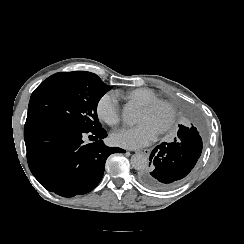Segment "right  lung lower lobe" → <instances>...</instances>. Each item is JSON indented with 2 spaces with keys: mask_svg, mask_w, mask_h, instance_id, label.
<instances>
[{
  "mask_svg": "<svg viewBox=\"0 0 244 244\" xmlns=\"http://www.w3.org/2000/svg\"><path fill=\"white\" fill-rule=\"evenodd\" d=\"M89 134L93 143L84 144ZM101 127L91 132L75 130L48 120H26L24 139L29 168L47 190L64 197L95 188L104 173L107 157L120 148L105 146Z\"/></svg>",
  "mask_w": 244,
  "mask_h": 244,
  "instance_id": "obj_1",
  "label": "right lung lower lobe"
}]
</instances>
